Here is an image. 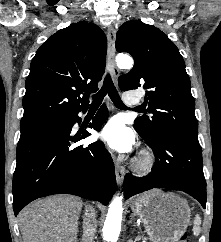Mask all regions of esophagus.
I'll use <instances>...</instances> for the list:
<instances>
[{"label":"esophagus","mask_w":221,"mask_h":242,"mask_svg":"<svg viewBox=\"0 0 221 242\" xmlns=\"http://www.w3.org/2000/svg\"><path fill=\"white\" fill-rule=\"evenodd\" d=\"M107 38H108V68L112 75L113 80L117 83L119 71L115 64L116 32L112 26H110L107 30ZM115 175H116V180L118 185H122L124 176H125V168L118 161L115 162Z\"/></svg>","instance_id":"esophagus-1"}]
</instances>
